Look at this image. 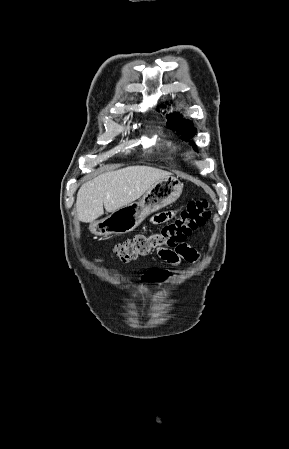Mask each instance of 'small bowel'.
I'll use <instances>...</instances> for the list:
<instances>
[{
    "label": "small bowel",
    "instance_id": "1",
    "mask_svg": "<svg viewBox=\"0 0 289 449\" xmlns=\"http://www.w3.org/2000/svg\"><path fill=\"white\" fill-rule=\"evenodd\" d=\"M170 216H171V214L160 215L156 219V221L162 222V221L166 220L167 218H169ZM157 253H158V256L163 261H165L166 263L173 265V266L180 265L182 261H187V262L192 263L198 259V253L196 252V250L185 243L179 245L178 247H174V248H161L158 250ZM155 281H160V280H155Z\"/></svg>",
    "mask_w": 289,
    "mask_h": 449
}]
</instances>
